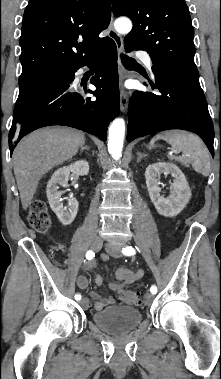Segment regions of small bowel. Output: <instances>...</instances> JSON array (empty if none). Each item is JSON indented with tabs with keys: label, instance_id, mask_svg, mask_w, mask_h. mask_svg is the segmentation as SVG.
Wrapping results in <instances>:
<instances>
[{
	"label": "small bowel",
	"instance_id": "c3829d8e",
	"mask_svg": "<svg viewBox=\"0 0 221 379\" xmlns=\"http://www.w3.org/2000/svg\"><path fill=\"white\" fill-rule=\"evenodd\" d=\"M83 268L87 271H92L96 268V263L94 261H86L83 265ZM144 275L142 269L131 270L120 268L115 272L116 281L109 284L110 289L117 292L124 291L125 287L128 285L140 280ZM78 286L81 289H86L89 286V278L86 275H80L77 280ZM103 284V279L101 275H97L95 278V289L90 292V296L95 300L94 307L96 310H102L108 305H111L114 302L112 296H101L97 289L100 288Z\"/></svg>",
	"mask_w": 221,
	"mask_h": 379
}]
</instances>
